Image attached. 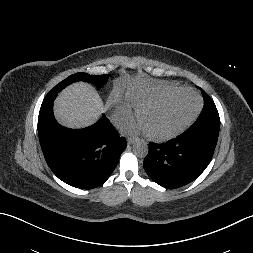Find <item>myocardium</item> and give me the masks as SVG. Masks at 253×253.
I'll list each match as a JSON object with an SVG mask.
<instances>
[{"label":"myocardium","instance_id":"f54148a6","mask_svg":"<svg viewBox=\"0 0 253 253\" xmlns=\"http://www.w3.org/2000/svg\"><path fill=\"white\" fill-rule=\"evenodd\" d=\"M181 93H191L196 97V105H195L193 111L190 113V115L179 126H177L175 129H173L172 131H170L168 133L154 134V133L148 132V136L152 140L158 141V142L168 141V140H171V139L177 137L182 132H184L197 118V116L200 112L201 106H202L201 98L198 95V93L192 88L178 87L177 89L163 95L162 97L144 104L143 106H141L138 109L137 117L140 120L142 115L145 112H147L148 110L157 108V107L165 104L166 102H168L169 100H171L172 98H174L175 96H177Z\"/></svg>","mask_w":253,"mask_h":253}]
</instances>
